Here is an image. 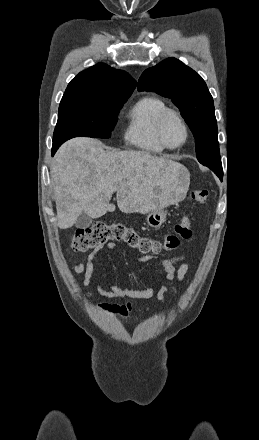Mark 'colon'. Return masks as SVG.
<instances>
[{"instance_id": "colon-1", "label": "colon", "mask_w": 259, "mask_h": 440, "mask_svg": "<svg viewBox=\"0 0 259 440\" xmlns=\"http://www.w3.org/2000/svg\"><path fill=\"white\" fill-rule=\"evenodd\" d=\"M207 198L206 189H196L190 194V199L197 203H205ZM191 236L190 221L186 215L174 226L172 232L165 235L163 240L141 236L133 228L122 223L97 222L88 228L76 230L71 248L75 252H86L108 241H122L141 253L156 254L176 249L181 241L188 240Z\"/></svg>"}]
</instances>
